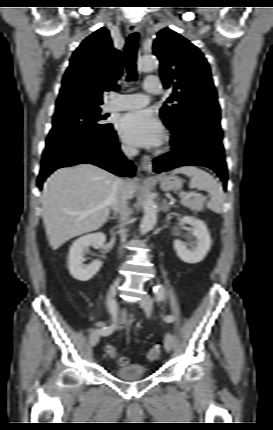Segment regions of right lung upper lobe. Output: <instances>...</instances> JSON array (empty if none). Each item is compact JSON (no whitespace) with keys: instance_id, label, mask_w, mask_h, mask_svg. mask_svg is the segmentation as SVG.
<instances>
[{"instance_id":"cb5924a9","label":"right lung upper lobe","mask_w":273,"mask_h":430,"mask_svg":"<svg viewBox=\"0 0 273 430\" xmlns=\"http://www.w3.org/2000/svg\"><path fill=\"white\" fill-rule=\"evenodd\" d=\"M122 68L121 52L113 47L109 31L100 28L74 51L56 107L74 100L102 104L104 92L118 89Z\"/></svg>"}]
</instances>
